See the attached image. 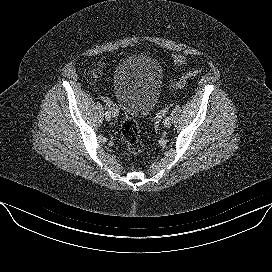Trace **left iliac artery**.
Instances as JSON below:
<instances>
[{"instance_id":"44dca946","label":"left iliac artery","mask_w":272,"mask_h":272,"mask_svg":"<svg viewBox=\"0 0 272 272\" xmlns=\"http://www.w3.org/2000/svg\"><path fill=\"white\" fill-rule=\"evenodd\" d=\"M166 118H167V119H171V118H172V115H171V114H167V115H166Z\"/></svg>"}]
</instances>
